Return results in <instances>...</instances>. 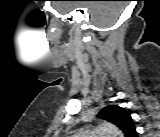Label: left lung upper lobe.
Here are the masks:
<instances>
[{
	"instance_id": "5c2ea615",
	"label": "left lung upper lobe",
	"mask_w": 160,
	"mask_h": 137,
	"mask_svg": "<svg viewBox=\"0 0 160 137\" xmlns=\"http://www.w3.org/2000/svg\"><path fill=\"white\" fill-rule=\"evenodd\" d=\"M98 117L114 123L124 132L125 136H128L135 129L130 114L123 108L115 105L103 108L99 112Z\"/></svg>"
}]
</instances>
